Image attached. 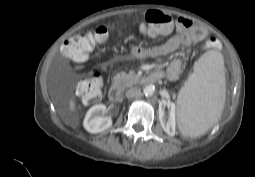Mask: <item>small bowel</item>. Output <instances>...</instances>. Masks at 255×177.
<instances>
[{
  "label": "small bowel",
  "instance_id": "1",
  "mask_svg": "<svg viewBox=\"0 0 255 177\" xmlns=\"http://www.w3.org/2000/svg\"><path fill=\"white\" fill-rule=\"evenodd\" d=\"M172 30V27L170 31ZM170 31L165 34H169ZM206 33L203 28L194 26L192 22L187 18H178L174 34H172L164 43L150 47L144 48L140 46H135L131 48L128 59H158L167 55H170L177 51L181 46L189 45L193 42L203 40ZM211 42L215 43L214 38L209 39ZM183 65L179 58L172 60L169 64L166 77L169 81H176L182 73Z\"/></svg>",
  "mask_w": 255,
  "mask_h": 177
}]
</instances>
